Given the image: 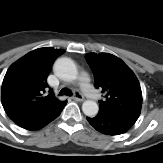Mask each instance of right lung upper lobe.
Listing matches in <instances>:
<instances>
[{
    "mask_svg": "<svg viewBox=\"0 0 163 163\" xmlns=\"http://www.w3.org/2000/svg\"><path fill=\"white\" fill-rule=\"evenodd\" d=\"M63 53L50 47L39 48L10 66L2 83V105L10 118L46 113L66 104L47 89L46 81L52 63Z\"/></svg>",
    "mask_w": 163,
    "mask_h": 163,
    "instance_id": "right-lung-upper-lobe-1",
    "label": "right lung upper lobe"
}]
</instances>
